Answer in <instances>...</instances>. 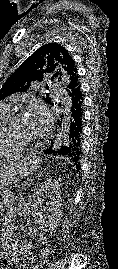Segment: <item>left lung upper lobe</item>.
Here are the masks:
<instances>
[{
  "mask_svg": "<svg viewBox=\"0 0 118 269\" xmlns=\"http://www.w3.org/2000/svg\"><path fill=\"white\" fill-rule=\"evenodd\" d=\"M63 74L69 77L67 87L70 91L80 85L74 60L68 51L57 43L45 44L11 74L0 90V100L12 93L26 91L35 82H41L44 75L50 76L51 80H60ZM43 99L51 104L49 96Z\"/></svg>",
  "mask_w": 118,
  "mask_h": 269,
  "instance_id": "left-lung-upper-lobe-1",
  "label": "left lung upper lobe"
}]
</instances>
